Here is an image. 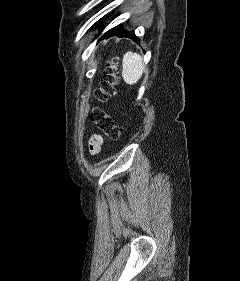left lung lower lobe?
Segmentation results:
<instances>
[{"mask_svg": "<svg viewBox=\"0 0 240 281\" xmlns=\"http://www.w3.org/2000/svg\"><path fill=\"white\" fill-rule=\"evenodd\" d=\"M100 23V21L96 22L91 29L95 28L98 24ZM119 36V37H128L133 39L135 42H138V37L135 36L134 31H130V32H126L124 30L121 29L120 26L114 27L112 29H110L109 31H107L103 37L105 38H109L111 36Z\"/></svg>", "mask_w": 240, "mask_h": 281, "instance_id": "obj_1", "label": "left lung lower lobe"}]
</instances>
